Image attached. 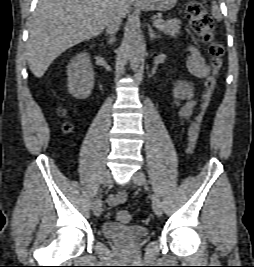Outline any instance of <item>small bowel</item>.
Wrapping results in <instances>:
<instances>
[{
    "instance_id": "obj_1",
    "label": "small bowel",
    "mask_w": 254,
    "mask_h": 267,
    "mask_svg": "<svg viewBox=\"0 0 254 267\" xmlns=\"http://www.w3.org/2000/svg\"><path fill=\"white\" fill-rule=\"evenodd\" d=\"M189 52L190 55L187 60L189 73L199 80L204 79L210 71L209 64L205 61L196 47L189 46ZM173 94V106L178 109L181 117L189 119L196 105L192 84L186 80L177 82ZM126 199V191H120L116 195H110L107 202L110 206H117L124 203Z\"/></svg>"
}]
</instances>
